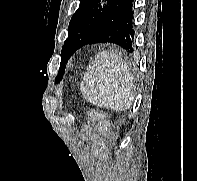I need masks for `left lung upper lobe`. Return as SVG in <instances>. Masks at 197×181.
Returning a JSON list of instances; mask_svg holds the SVG:
<instances>
[{
  "mask_svg": "<svg viewBox=\"0 0 197 181\" xmlns=\"http://www.w3.org/2000/svg\"><path fill=\"white\" fill-rule=\"evenodd\" d=\"M112 1L80 0L79 8L73 14L69 23L68 38L62 47L61 63L56 82L61 81L69 58L87 43Z\"/></svg>",
  "mask_w": 197,
  "mask_h": 181,
  "instance_id": "1",
  "label": "left lung upper lobe"
}]
</instances>
